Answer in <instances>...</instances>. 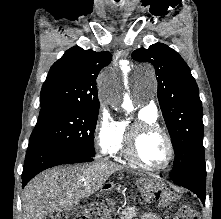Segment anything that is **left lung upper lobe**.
Instances as JSON below:
<instances>
[{
	"mask_svg": "<svg viewBox=\"0 0 221 219\" xmlns=\"http://www.w3.org/2000/svg\"><path fill=\"white\" fill-rule=\"evenodd\" d=\"M132 58L155 68L157 96L175 152L171 179L205 170L202 103L189 67L163 43L137 49Z\"/></svg>",
	"mask_w": 221,
	"mask_h": 219,
	"instance_id": "left-lung-upper-lobe-1",
	"label": "left lung upper lobe"
}]
</instances>
